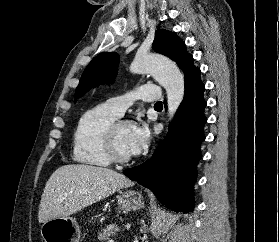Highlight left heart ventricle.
<instances>
[{"instance_id": "b2bd125f", "label": "left heart ventricle", "mask_w": 279, "mask_h": 242, "mask_svg": "<svg viewBox=\"0 0 279 242\" xmlns=\"http://www.w3.org/2000/svg\"><path fill=\"white\" fill-rule=\"evenodd\" d=\"M131 125H122L118 128L116 132V146L118 151L127 157L132 156L130 149H129V140H130V133H131Z\"/></svg>"}]
</instances>
